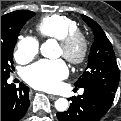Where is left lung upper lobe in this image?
Masks as SVG:
<instances>
[{
  "label": "left lung upper lobe",
  "mask_w": 121,
  "mask_h": 121,
  "mask_svg": "<svg viewBox=\"0 0 121 121\" xmlns=\"http://www.w3.org/2000/svg\"><path fill=\"white\" fill-rule=\"evenodd\" d=\"M83 20L92 28L95 41L91 46L88 66L75 83L76 87H98L115 93L119 83V68L113 47L102 28L91 18L82 15Z\"/></svg>",
  "instance_id": "1"
}]
</instances>
